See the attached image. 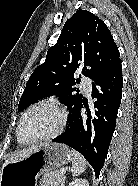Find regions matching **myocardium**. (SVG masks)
Returning <instances> with one entry per match:
<instances>
[{
  "mask_svg": "<svg viewBox=\"0 0 138 186\" xmlns=\"http://www.w3.org/2000/svg\"><path fill=\"white\" fill-rule=\"evenodd\" d=\"M40 107H51V108L57 110L61 116L60 124H59L58 128L56 130H54L53 132H51L50 134H47L45 136L35 138L32 140H25L22 138L21 132H20L22 123H23L24 119L26 118V116L31 111H33L37 108H40ZM67 120H68V113H67L66 109L63 106H61L59 103H57L55 101H51V100H46V101L36 103V104L32 105L31 107H29L27 110H25L24 113L22 114V116L20 117L18 125H17V129H16L17 139L22 144H34V143L50 140V139L56 137L57 135H59L65 129V127L67 125Z\"/></svg>",
  "mask_w": 138,
  "mask_h": 186,
  "instance_id": "f54148a6",
  "label": "myocardium"
}]
</instances>
